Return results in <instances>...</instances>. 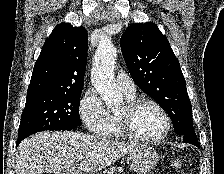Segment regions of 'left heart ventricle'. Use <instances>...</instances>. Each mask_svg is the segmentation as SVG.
Wrapping results in <instances>:
<instances>
[{
    "mask_svg": "<svg viewBox=\"0 0 224 174\" xmlns=\"http://www.w3.org/2000/svg\"><path fill=\"white\" fill-rule=\"evenodd\" d=\"M124 110V105L117 113ZM131 124L135 132L144 137H156L160 135L165 127V121L161 113L150 104L138 107L131 116Z\"/></svg>",
    "mask_w": 224,
    "mask_h": 174,
    "instance_id": "1",
    "label": "left heart ventricle"
}]
</instances>
